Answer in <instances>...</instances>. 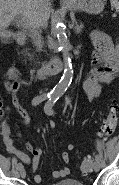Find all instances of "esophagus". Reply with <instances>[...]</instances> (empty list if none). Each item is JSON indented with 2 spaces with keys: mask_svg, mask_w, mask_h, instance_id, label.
I'll return each instance as SVG.
<instances>
[{
  "mask_svg": "<svg viewBox=\"0 0 119 185\" xmlns=\"http://www.w3.org/2000/svg\"><path fill=\"white\" fill-rule=\"evenodd\" d=\"M63 4H71L72 0H61Z\"/></svg>",
  "mask_w": 119,
  "mask_h": 185,
  "instance_id": "obj_1",
  "label": "esophagus"
}]
</instances>
